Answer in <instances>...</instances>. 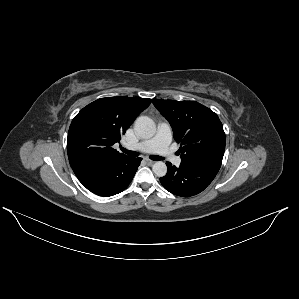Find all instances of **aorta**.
<instances>
[{"mask_svg":"<svg viewBox=\"0 0 299 299\" xmlns=\"http://www.w3.org/2000/svg\"><path fill=\"white\" fill-rule=\"evenodd\" d=\"M135 131L143 139H149L155 135L156 124L147 116H140L136 119L134 124ZM152 171L158 177H163L167 173V166L162 161H157L152 166Z\"/></svg>","mask_w":299,"mask_h":299,"instance_id":"1","label":"aorta"}]
</instances>
